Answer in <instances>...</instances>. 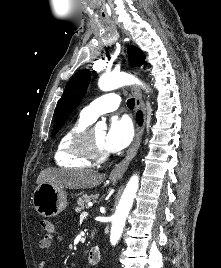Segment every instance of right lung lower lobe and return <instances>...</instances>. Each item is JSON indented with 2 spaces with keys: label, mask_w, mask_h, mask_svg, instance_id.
<instances>
[{
  "label": "right lung lower lobe",
  "mask_w": 221,
  "mask_h": 268,
  "mask_svg": "<svg viewBox=\"0 0 221 268\" xmlns=\"http://www.w3.org/2000/svg\"><path fill=\"white\" fill-rule=\"evenodd\" d=\"M137 120H138V123H139V124L142 123L143 117H142V113H141V112H139V113L137 114Z\"/></svg>",
  "instance_id": "obj_1"
}]
</instances>
